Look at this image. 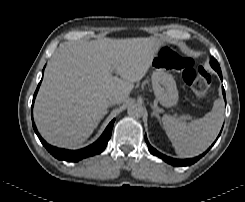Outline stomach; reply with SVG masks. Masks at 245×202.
Masks as SVG:
<instances>
[{
    "label": "stomach",
    "instance_id": "0dacf381",
    "mask_svg": "<svg viewBox=\"0 0 245 202\" xmlns=\"http://www.w3.org/2000/svg\"><path fill=\"white\" fill-rule=\"evenodd\" d=\"M163 49V47H159L151 62L154 68L152 86L154 95L160 104L163 107L170 108L177 104L179 95L174 77L165 68L164 60L161 56Z\"/></svg>",
    "mask_w": 245,
    "mask_h": 202
}]
</instances>
